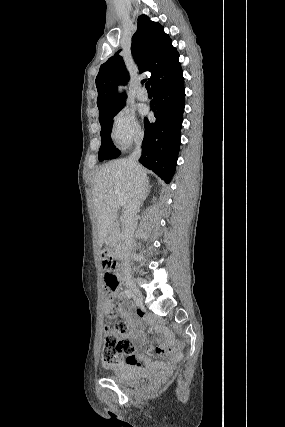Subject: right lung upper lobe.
I'll return each mask as SVG.
<instances>
[{"label":"right lung upper lobe","mask_w":285,"mask_h":427,"mask_svg":"<svg viewBox=\"0 0 285 427\" xmlns=\"http://www.w3.org/2000/svg\"><path fill=\"white\" fill-rule=\"evenodd\" d=\"M131 52L139 72L149 71L152 88L173 78L181 71L179 53L162 26L146 15L138 17L137 31L132 37ZM119 51L100 66L96 77L99 121L117 113L124 106L126 94H118L117 86L126 83L129 75Z\"/></svg>","instance_id":"right-lung-upper-lobe-1"}]
</instances>
